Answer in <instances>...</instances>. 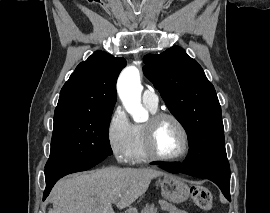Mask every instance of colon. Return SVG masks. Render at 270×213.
<instances>
[{"label": "colon", "mask_w": 270, "mask_h": 213, "mask_svg": "<svg viewBox=\"0 0 270 213\" xmlns=\"http://www.w3.org/2000/svg\"><path fill=\"white\" fill-rule=\"evenodd\" d=\"M191 196L195 206L199 209L208 211L212 208L213 197L208 189L199 186L193 187Z\"/></svg>", "instance_id": "1"}]
</instances>
